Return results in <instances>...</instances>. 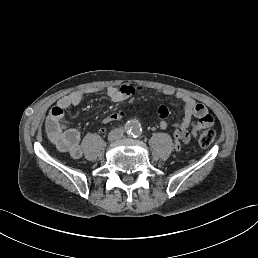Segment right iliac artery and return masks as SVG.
I'll return each mask as SVG.
<instances>
[{"instance_id": "right-iliac-artery-1", "label": "right iliac artery", "mask_w": 258, "mask_h": 258, "mask_svg": "<svg viewBox=\"0 0 258 258\" xmlns=\"http://www.w3.org/2000/svg\"><path fill=\"white\" fill-rule=\"evenodd\" d=\"M133 123H134V122L129 121V122H127L124 126H121L120 128H121V129H124V130H126V131H130L131 128H132Z\"/></svg>"}]
</instances>
